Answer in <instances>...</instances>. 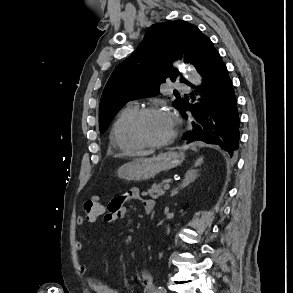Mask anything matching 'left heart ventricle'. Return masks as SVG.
I'll return each mask as SVG.
<instances>
[{
	"label": "left heart ventricle",
	"instance_id": "1",
	"mask_svg": "<svg viewBox=\"0 0 293 293\" xmlns=\"http://www.w3.org/2000/svg\"><path fill=\"white\" fill-rule=\"evenodd\" d=\"M141 130L148 140L158 142L171 135L173 122L168 113L160 111L146 116L142 122Z\"/></svg>",
	"mask_w": 293,
	"mask_h": 293
}]
</instances>
